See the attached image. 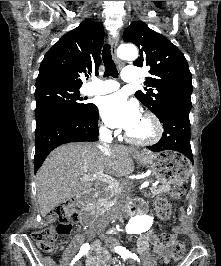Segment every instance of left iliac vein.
Wrapping results in <instances>:
<instances>
[{"label":"left iliac vein","mask_w":221,"mask_h":266,"mask_svg":"<svg viewBox=\"0 0 221 266\" xmlns=\"http://www.w3.org/2000/svg\"><path fill=\"white\" fill-rule=\"evenodd\" d=\"M114 245H116L117 243L116 242H114V241H111Z\"/></svg>","instance_id":"left-iliac-vein-1"}]
</instances>
